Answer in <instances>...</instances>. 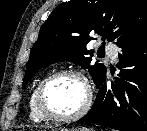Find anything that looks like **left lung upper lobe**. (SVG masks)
<instances>
[{"instance_id": "5c2ea615", "label": "left lung upper lobe", "mask_w": 147, "mask_h": 131, "mask_svg": "<svg viewBox=\"0 0 147 131\" xmlns=\"http://www.w3.org/2000/svg\"><path fill=\"white\" fill-rule=\"evenodd\" d=\"M147 29V0H70L57 6L40 28L27 64L23 85L41 68L71 61L89 69L99 87L106 78L102 63L90 65L86 48L96 36L121 47Z\"/></svg>"}]
</instances>
